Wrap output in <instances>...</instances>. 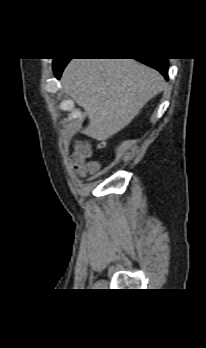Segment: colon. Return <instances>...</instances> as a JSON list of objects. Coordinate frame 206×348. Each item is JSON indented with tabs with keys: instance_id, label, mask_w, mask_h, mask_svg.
<instances>
[{
	"instance_id": "5ec220e1",
	"label": "colon",
	"mask_w": 206,
	"mask_h": 348,
	"mask_svg": "<svg viewBox=\"0 0 206 348\" xmlns=\"http://www.w3.org/2000/svg\"><path fill=\"white\" fill-rule=\"evenodd\" d=\"M90 156V149L84 145L79 144L77 145L73 155H72V162L75 165L82 164L88 157Z\"/></svg>"
}]
</instances>
